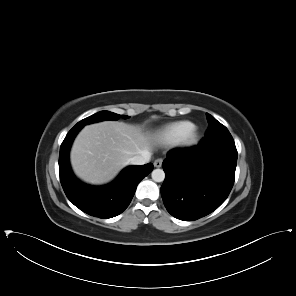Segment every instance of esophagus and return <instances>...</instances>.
<instances>
[{
	"instance_id": "esophagus-1",
	"label": "esophagus",
	"mask_w": 296,
	"mask_h": 296,
	"mask_svg": "<svg viewBox=\"0 0 296 296\" xmlns=\"http://www.w3.org/2000/svg\"><path fill=\"white\" fill-rule=\"evenodd\" d=\"M162 163H163V159L162 158H158L154 161V166L156 168H160L162 166Z\"/></svg>"
}]
</instances>
